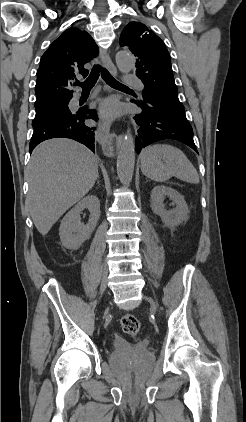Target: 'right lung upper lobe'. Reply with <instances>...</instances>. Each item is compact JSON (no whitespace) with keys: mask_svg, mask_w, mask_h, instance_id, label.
I'll return each mask as SVG.
<instances>
[{"mask_svg":"<svg viewBox=\"0 0 246 422\" xmlns=\"http://www.w3.org/2000/svg\"><path fill=\"white\" fill-rule=\"evenodd\" d=\"M98 53L93 38L78 28L65 30L51 43L40 59L35 86V109L70 101L73 91L68 89L76 76H86L88 63Z\"/></svg>","mask_w":246,"mask_h":422,"instance_id":"obj_1","label":"right lung upper lobe"}]
</instances>
